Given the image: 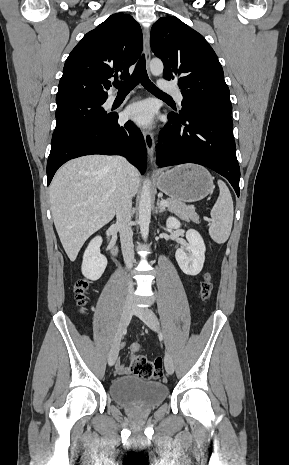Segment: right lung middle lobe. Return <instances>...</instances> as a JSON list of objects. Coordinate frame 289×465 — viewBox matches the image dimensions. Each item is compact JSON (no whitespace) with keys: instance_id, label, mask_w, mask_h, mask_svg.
<instances>
[{"instance_id":"1","label":"right lung middle lobe","mask_w":289,"mask_h":465,"mask_svg":"<svg viewBox=\"0 0 289 465\" xmlns=\"http://www.w3.org/2000/svg\"><path fill=\"white\" fill-rule=\"evenodd\" d=\"M105 101L76 100L57 104L56 128L52 135V142L80 127L106 120L110 114L102 107Z\"/></svg>"}]
</instances>
